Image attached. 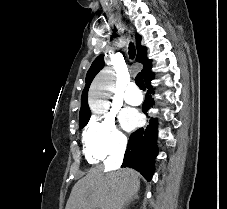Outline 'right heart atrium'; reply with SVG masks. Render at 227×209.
I'll return each mask as SVG.
<instances>
[{
  "mask_svg": "<svg viewBox=\"0 0 227 209\" xmlns=\"http://www.w3.org/2000/svg\"><path fill=\"white\" fill-rule=\"evenodd\" d=\"M83 149L93 162L122 154L127 144L126 135L111 117H93L83 130Z\"/></svg>",
  "mask_w": 227,
  "mask_h": 209,
  "instance_id": "obj_1",
  "label": "right heart atrium"
}]
</instances>
